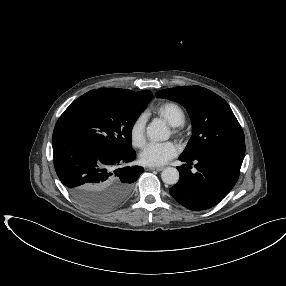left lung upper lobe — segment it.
Listing matches in <instances>:
<instances>
[{
	"instance_id": "5c2ea615",
	"label": "left lung upper lobe",
	"mask_w": 286,
	"mask_h": 286,
	"mask_svg": "<svg viewBox=\"0 0 286 286\" xmlns=\"http://www.w3.org/2000/svg\"><path fill=\"white\" fill-rule=\"evenodd\" d=\"M155 95L180 103L191 117L193 135L181 156L193 159L204 153L220 152L244 158L243 130L222 97L196 85L163 89Z\"/></svg>"
}]
</instances>
